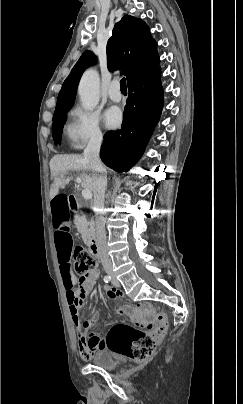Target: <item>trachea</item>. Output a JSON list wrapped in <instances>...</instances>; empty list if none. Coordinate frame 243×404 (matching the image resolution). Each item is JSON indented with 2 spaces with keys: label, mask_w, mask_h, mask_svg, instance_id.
<instances>
[{
  "label": "trachea",
  "mask_w": 243,
  "mask_h": 404,
  "mask_svg": "<svg viewBox=\"0 0 243 404\" xmlns=\"http://www.w3.org/2000/svg\"><path fill=\"white\" fill-rule=\"evenodd\" d=\"M120 87H121V91H126L127 90V85H126V79L125 77H123L120 80Z\"/></svg>",
  "instance_id": "trachea-1"
}]
</instances>
